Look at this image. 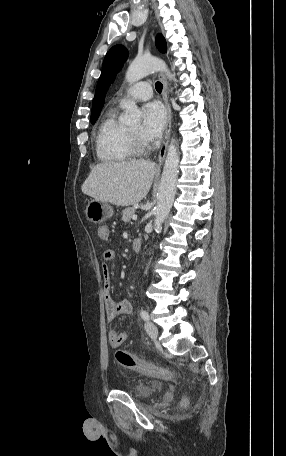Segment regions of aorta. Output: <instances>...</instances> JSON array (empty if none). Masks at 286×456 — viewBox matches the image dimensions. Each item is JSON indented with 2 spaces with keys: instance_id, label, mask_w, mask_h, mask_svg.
Returning <instances> with one entry per match:
<instances>
[{
  "instance_id": "aorta-1",
  "label": "aorta",
  "mask_w": 286,
  "mask_h": 456,
  "mask_svg": "<svg viewBox=\"0 0 286 456\" xmlns=\"http://www.w3.org/2000/svg\"><path fill=\"white\" fill-rule=\"evenodd\" d=\"M157 71H163L171 80L173 75L170 73L166 63L156 57L136 58L129 65L126 72V80L132 84ZM122 122L128 125H138L141 122V111L134 101L125 103V114ZM179 173V151L175 139H172L168 147L167 156L161 176L160 186L157 195V205L155 207V228H160L167 218L176 194V181Z\"/></svg>"
}]
</instances>
